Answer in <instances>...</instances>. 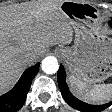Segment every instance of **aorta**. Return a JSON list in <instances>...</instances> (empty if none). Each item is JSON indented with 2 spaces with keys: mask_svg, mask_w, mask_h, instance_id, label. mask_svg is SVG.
Returning a JSON list of instances; mask_svg holds the SVG:
<instances>
[{
  "mask_svg": "<svg viewBox=\"0 0 112 112\" xmlns=\"http://www.w3.org/2000/svg\"><path fill=\"white\" fill-rule=\"evenodd\" d=\"M41 69L45 74H54L58 70V62L55 57L48 56L41 62Z\"/></svg>",
  "mask_w": 112,
  "mask_h": 112,
  "instance_id": "762f6f07",
  "label": "aorta"
}]
</instances>
